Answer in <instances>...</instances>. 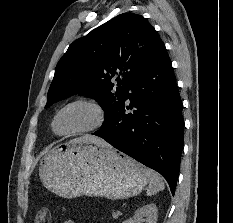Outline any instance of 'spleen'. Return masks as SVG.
Here are the masks:
<instances>
[{
	"label": "spleen",
	"instance_id": "obj_1",
	"mask_svg": "<svg viewBox=\"0 0 233 223\" xmlns=\"http://www.w3.org/2000/svg\"><path fill=\"white\" fill-rule=\"evenodd\" d=\"M147 177L149 181L148 189L146 191L147 195H154V193H158L161 189H164V179L154 171V169H147Z\"/></svg>",
	"mask_w": 233,
	"mask_h": 223
}]
</instances>
